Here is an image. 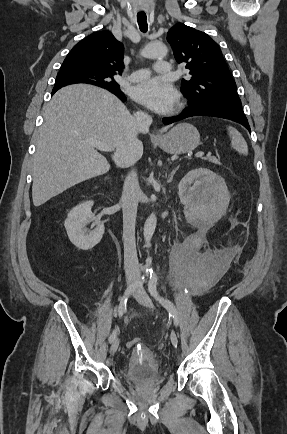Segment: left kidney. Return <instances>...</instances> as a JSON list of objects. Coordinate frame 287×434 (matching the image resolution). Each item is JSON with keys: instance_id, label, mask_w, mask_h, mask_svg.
Wrapping results in <instances>:
<instances>
[{"instance_id": "5707ae66", "label": "left kidney", "mask_w": 287, "mask_h": 434, "mask_svg": "<svg viewBox=\"0 0 287 434\" xmlns=\"http://www.w3.org/2000/svg\"><path fill=\"white\" fill-rule=\"evenodd\" d=\"M178 189L182 204L194 210H209V218L213 220L220 218L229 204L230 195L224 179L206 168L188 172Z\"/></svg>"}]
</instances>
